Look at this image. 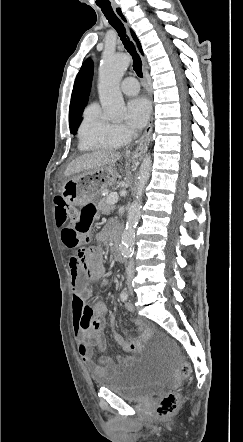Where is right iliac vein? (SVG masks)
Masks as SVG:
<instances>
[{
	"label": "right iliac vein",
	"instance_id": "1",
	"mask_svg": "<svg viewBox=\"0 0 243 442\" xmlns=\"http://www.w3.org/2000/svg\"><path fill=\"white\" fill-rule=\"evenodd\" d=\"M128 288H129V290H130V289H131V286H129Z\"/></svg>",
	"mask_w": 243,
	"mask_h": 442
}]
</instances>
